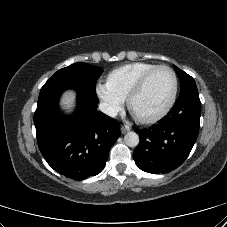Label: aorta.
Instances as JSON below:
<instances>
[{"mask_svg": "<svg viewBox=\"0 0 227 227\" xmlns=\"http://www.w3.org/2000/svg\"><path fill=\"white\" fill-rule=\"evenodd\" d=\"M124 142L129 147H136L139 144V136L135 132H128L124 136Z\"/></svg>", "mask_w": 227, "mask_h": 227, "instance_id": "1", "label": "aorta"}]
</instances>
